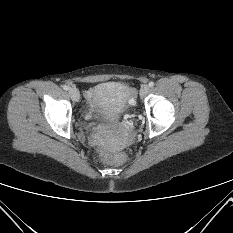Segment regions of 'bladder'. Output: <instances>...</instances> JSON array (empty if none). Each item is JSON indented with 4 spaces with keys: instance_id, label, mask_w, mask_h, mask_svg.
Listing matches in <instances>:
<instances>
[{
    "instance_id": "31cf9c89",
    "label": "bladder",
    "mask_w": 233,
    "mask_h": 233,
    "mask_svg": "<svg viewBox=\"0 0 233 233\" xmlns=\"http://www.w3.org/2000/svg\"><path fill=\"white\" fill-rule=\"evenodd\" d=\"M129 92L119 82L97 85L86 105V112L98 120H114L130 109Z\"/></svg>"
}]
</instances>
